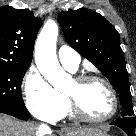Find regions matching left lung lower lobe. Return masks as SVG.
<instances>
[{"mask_svg":"<svg viewBox=\"0 0 136 136\" xmlns=\"http://www.w3.org/2000/svg\"><path fill=\"white\" fill-rule=\"evenodd\" d=\"M111 125L120 127L129 136H135V119L133 116L121 117L112 122Z\"/></svg>","mask_w":136,"mask_h":136,"instance_id":"left-lung-lower-lobe-1","label":"left lung lower lobe"}]
</instances>
